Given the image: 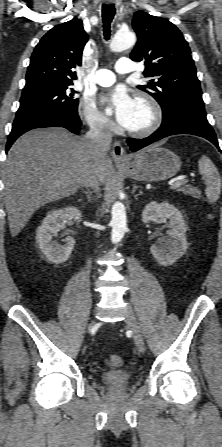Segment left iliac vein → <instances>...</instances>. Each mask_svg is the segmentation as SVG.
Here are the masks:
<instances>
[{
    "mask_svg": "<svg viewBox=\"0 0 222 447\" xmlns=\"http://www.w3.org/2000/svg\"><path fill=\"white\" fill-rule=\"evenodd\" d=\"M125 322L129 326L133 333V338L137 349L141 352H145V343L139 326V322L134 314V311L130 305L126 306L125 309Z\"/></svg>",
    "mask_w": 222,
    "mask_h": 447,
    "instance_id": "4c4485c4",
    "label": "left iliac vein"
}]
</instances>
